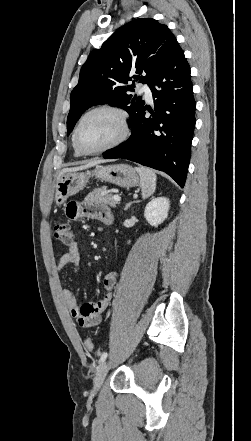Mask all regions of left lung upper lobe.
<instances>
[{"mask_svg":"<svg viewBox=\"0 0 251 441\" xmlns=\"http://www.w3.org/2000/svg\"><path fill=\"white\" fill-rule=\"evenodd\" d=\"M178 44L169 28L152 18L130 21L93 50L81 68L79 82L71 92L67 135L91 106L108 103L121 107L131 122L145 102L132 96L135 84L149 83L164 66Z\"/></svg>","mask_w":251,"mask_h":441,"instance_id":"1","label":"left lung upper lobe"}]
</instances>
